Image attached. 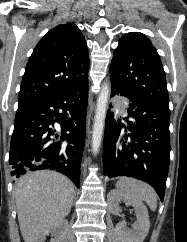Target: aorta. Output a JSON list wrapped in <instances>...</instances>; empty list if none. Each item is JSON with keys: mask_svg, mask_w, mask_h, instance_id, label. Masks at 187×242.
I'll use <instances>...</instances> for the list:
<instances>
[{"mask_svg": "<svg viewBox=\"0 0 187 242\" xmlns=\"http://www.w3.org/2000/svg\"><path fill=\"white\" fill-rule=\"evenodd\" d=\"M109 93V84H103L102 90L97 99V107L92 130V151L94 154L98 152L102 142Z\"/></svg>", "mask_w": 187, "mask_h": 242, "instance_id": "aorta-1", "label": "aorta"}]
</instances>
